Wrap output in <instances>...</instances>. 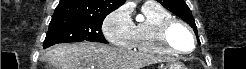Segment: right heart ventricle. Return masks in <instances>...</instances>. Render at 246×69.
<instances>
[{
    "label": "right heart ventricle",
    "instance_id": "obj_1",
    "mask_svg": "<svg viewBox=\"0 0 246 69\" xmlns=\"http://www.w3.org/2000/svg\"><path fill=\"white\" fill-rule=\"evenodd\" d=\"M143 19L134 24L133 44L131 49L157 56H165L168 51L161 47L153 38L158 26L172 14L160 5L147 1L142 6Z\"/></svg>",
    "mask_w": 246,
    "mask_h": 69
}]
</instances>
